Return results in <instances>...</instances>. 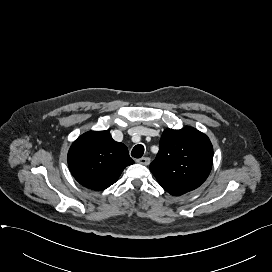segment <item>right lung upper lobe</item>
<instances>
[{
    "label": "right lung upper lobe",
    "mask_w": 272,
    "mask_h": 272,
    "mask_svg": "<svg viewBox=\"0 0 272 272\" xmlns=\"http://www.w3.org/2000/svg\"><path fill=\"white\" fill-rule=\"evenodd\" d=\"M68 166L84 187L101 191L114 184L125 167L132 165L127 147L112 139L109 131H90L72 144Z\"/></svg>",
    "instance_id": "obj_1"
}]
</instances>
